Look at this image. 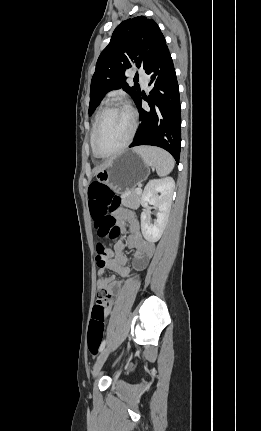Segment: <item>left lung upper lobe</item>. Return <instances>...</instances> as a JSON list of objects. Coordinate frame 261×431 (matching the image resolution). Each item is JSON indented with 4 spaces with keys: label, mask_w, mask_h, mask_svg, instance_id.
<instances>
[{
    "label": "left lung upper lobe",
    "mask_w": 261,
    "mask_h": 431,
    "mask_svg": "<svg viewBox=\"0 0 261 431\" xmlns=\"http://www.w3.org/2000/svg\"><path fill=\"white\" fill-rule=\"evenodd\" d=\"M165 45V38L154 20L140 16L123 21L97 60L91 80L89 113L113 89L122 88L136 101L141 93L140 86L130 87L126 83V69L135 66L146 70Z\"/></svg>",
    "instance_id": "5c2ea615"
}]
</instances>
